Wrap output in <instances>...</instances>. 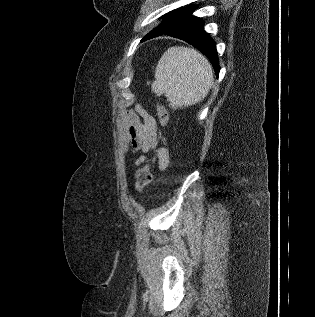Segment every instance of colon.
Returning <instances> with one entry per match:
<instances>
[{
  "label": "colon",
  "instance_id": "5ec220e1",
  "mask_svg": "<svg viewBox=\"0 0 315 317\" xmlns=\"http://www.w3.org/2000/svg\"><path fill=\"white\" fill-rule=\"evenodd\" d=\"M158 118L162 127L168 123L169 114L164 104H158ZM153 174L150 163L145 164L136 172L135 189L138 194H143L146 187L152 182Z\"/></svg>",
  "mask_w": 315,
  "mask_h": 317
}]
</instances>
